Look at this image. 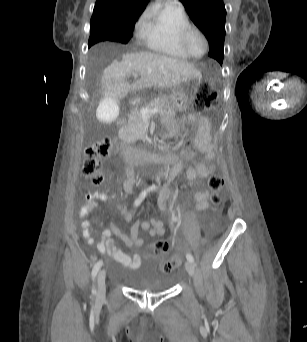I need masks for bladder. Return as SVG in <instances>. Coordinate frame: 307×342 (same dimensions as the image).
<instances>
[{
    "mask_svg": "<svg viewBox=\"0 0 307 342\" xmlns=\"http://www.w3.org/2000/svg\"><path fill=\"white\" fill-rule=\"evenodd\" d=\"M126 282L132 289L152 293L166 291L174 284L170 276L142 267L141 265L131 267L126 277Z\"/></svg>",
    "mask_w": 307,
    "mask_h": 342,
    "instance_id": "bladder-1",
    "label": "bladder"
}]
</instances>
